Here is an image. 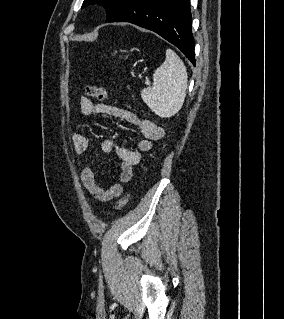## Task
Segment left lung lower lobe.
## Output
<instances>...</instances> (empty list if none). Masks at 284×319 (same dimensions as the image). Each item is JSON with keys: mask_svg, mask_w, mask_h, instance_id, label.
Masks as SVG:
<instances>
[{"mask_svg": "<svg viewBox=\"0 0 284 319\" xmlns=\"http://www.w3.org/2000/svg\"><path fill=\"white\" fill-rule=\"evenodd\" d=\"M108 22H130L179 48L195 66L189 0H127Z\"/></svg>", "mask_w": 284, "mask_h": 319, "instance_id": "obj_1", "label": "left lung lower lobe"}]
</instances>
